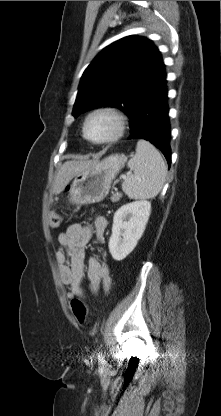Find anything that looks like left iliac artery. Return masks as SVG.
<instances>
[{"mask_svg":"<svg viewBox=\"0 0 221 416\" xmlns=\"http://www.w3.org/2000/svg\"><path fill=\"white\" fill-rule=\"evenodd\" d=\"M98 359H99V362L101 363L105 362L104 357L102 356V353L98 354Z\"/></svg>","mask_w":221,"mask_h":416,"instance_id":"left-iliac-artery-1","label":"left iliac artery"}]
</instances>
